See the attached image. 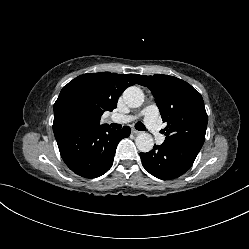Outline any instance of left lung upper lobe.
Returning <instances> with one entry per match:
<instances>
[{"label":"left lung upper lobe","mask_w":249,"mask_h":249,"mask_svg":"<svg viewBox=\"0 0 249 249\" xmlns=\"http://www.w3.org/2000/svg\"><path fill=\"white\" fill-rule=\"evenodd\" d=\"M140 85L150 89L163 122H167L164 143L200 150L208 122L200 93L187 82L168 75L144 76Z\"/></svg>","instance_id":"1"}]
</instances>
